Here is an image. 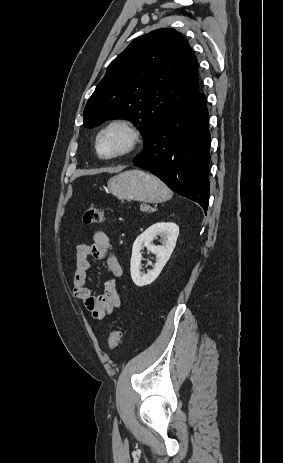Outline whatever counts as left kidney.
Returning a JSON list of instances; mask_svg holds the SVG:
<instances>
[{
    "mask_svg": "<svg viewBox=\"0 0 283 463\" xmlns=\"http://www.w3.org/2000/svg\"><path fill=\"white\" fill-rule=\"evenodd\" d=\"M156 235H159L163 242L162 246L152 245V241ZM179 235V227L172 222H158L146 229L140 234L132 248L131 257V278L138 287L151 284L161 273L163 267L170 259V256L175 248L176 241ZM146 247L156 255V263L151 271L147 274L141 273V250Z\"/></svg>",
    "mask_w": 283,
    "mask_h": 463,
    "instance_id": "left-kidney-1",
    "label": "left kidney"
}]
</instances>
